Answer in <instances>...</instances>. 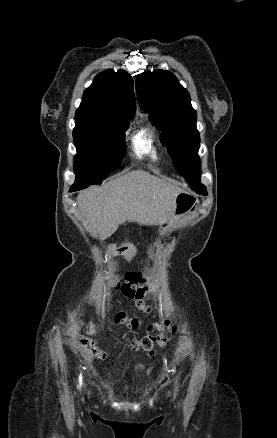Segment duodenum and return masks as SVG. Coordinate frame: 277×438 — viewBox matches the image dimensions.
<instances>
[{"label": "duodenum", "mask_w": 277, "mask_h": 438, "mask_svg": "<svg viewBox=\"0 0 277 438\" xmlns=\"http://www.w3.org/2000/svg\"><path fill=\"white\" fill-rule=\"evenodd\" d=\"M112 252L116 255H124L127 252V246L119 243H112L110 245Z\"/></svg>", "instance_id": "410a0bca"}]
</instances>
